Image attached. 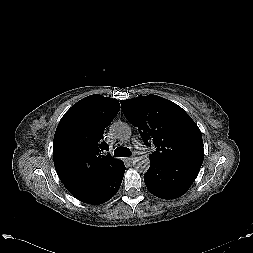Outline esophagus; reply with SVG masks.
<instances>
[{"mask_svg":"<svg viewBox=\"0 0 253 253\" xmlns=\"http://www.w3.org/2000/svg\"><path fill=\"white\" fill-rule=\"evenodd\" d=\"M134 159H135L134 157H128L127 161L130 162V163H132L134 161Z\"/></svg>","mask_w":253,"mask_h":253,"instance_id":"obj_1","label":"esophagus"}]
</instances>
